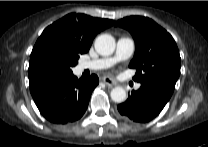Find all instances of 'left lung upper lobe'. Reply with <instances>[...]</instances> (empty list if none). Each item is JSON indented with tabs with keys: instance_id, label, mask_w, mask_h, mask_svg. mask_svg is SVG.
<instances>
[{
	"instance_id": "left-lung-upper-lobe-1",
	"label": "left lung upper lobe",
	"mask_w": 208,
	"mask_h": 147,
	"mask_svg": "<svg viewBox=\"0 0 208 147\" xmlns=\"http://www.w3.org/2000/svg\"><path fill=\"white\" fill-rule=\"evenodd\" d=\"M116 26L127 29L136 49L129 67L136 69L134 80L159 82L174 89L180 75L181 58L172 36L152 19L130 16L118 20Z\"/></svg>"
}]
</instances>
